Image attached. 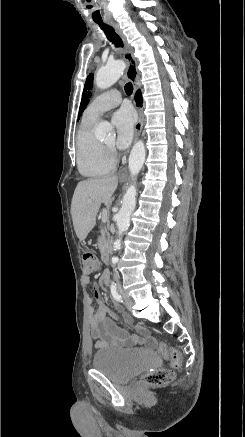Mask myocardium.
I'll return each mask as SVG.
<instances>
[{"label": "myocardium", "mask_w": 245, "mask_h": 437, "mask_svg": "<svg viewBox=\"0 0 245 437\" xmlns=\"http://www.w3.org/2000/svg\"><path fill=\"white\" fill-rule=\"evenodd\" d=\"M102 146H103V148L105 149V151H106L108 154L111 152V150H112V147H111V146H109V145H107V144H105V143H102Z\"/></svg>", "instance_id": "f54148a6"}]
</instances>
